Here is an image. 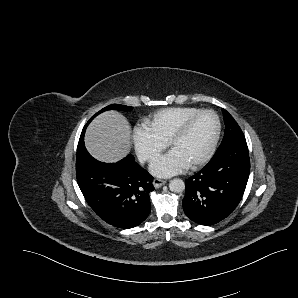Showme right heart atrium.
Here are the masks:
<instances>
[{
	"label": "right heart atrium",
	"instance_id": "1",
	"mask_svg": "<svg viewBox=\"0 0 298 298\" xmlns=\"http://www.w3.org/2000/svg\"><path fill=\"white\" fill-rule=\"evenodd\" d=\"M132 138L138 157L142 161L152 159L166 147V141L155 135L150 129L134 126Z\"/></svg>",
	"mask_w": 298,
	"mask_h": 298
}]
</instances>
